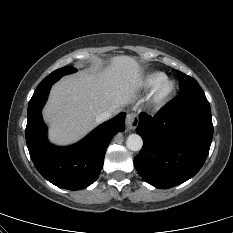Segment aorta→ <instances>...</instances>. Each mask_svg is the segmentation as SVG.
<instances>
[{"label": "aorta", "mask_w": 233, "mask_h": 233, "mask_svg": "<svg viewBox=\"0 0 233 233\" xmlns=\"http://www.w3.org/2000/svg\"><path fill=\"white\" fill-rule=\"evenodd\" d=\"M143 145V140L138 134H131L126 140V146L131 151L141 150Z\"/></svg>", "instance_id": "762f6f07"}]
</instances>
